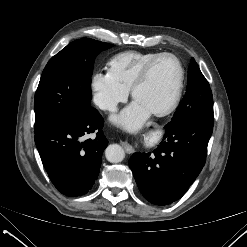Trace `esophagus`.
Returning <instances> with one entry per match:
<instances>
[{
	"label": "esophagus",
	"instance_id": "esophagus-1",
	"mask_svg": "<svg viewBox=\"0 0 247 247\" xmlns=\"http://www.w3.org/2000/svg\"><path fill=\"white\" fill-rule=\"evenodd\" d=\"M122 146L124 147L126 153L130 154L134 151V149L132 148V146H130L127 143H122Z\"/></svg>",
	"mask_w": 247,
	"mask_h": 247
}]
</instances>
